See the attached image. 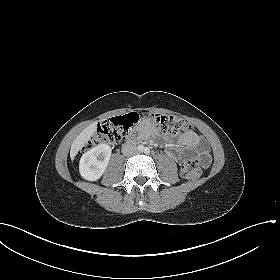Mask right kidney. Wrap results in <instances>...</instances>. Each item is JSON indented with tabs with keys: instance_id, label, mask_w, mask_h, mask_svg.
<instances>
[{
	"instance_id": "right-kidney-1",
	"label": "right kidney",
	"mask_w": 280,
	"mask_h": 280,
	"mask_svg": "<svg viewBox=\"0 0 280 280\" xmlns=\"http://www.w3.org/2000/svg\"><path fill=\"white\" fill-rule=\"evenodd\" d=\"M112 149L107 144H100L85 152L79 164V172L82 178L88 181H96L105 172Z\"/></svg>"
}]
</instances>
